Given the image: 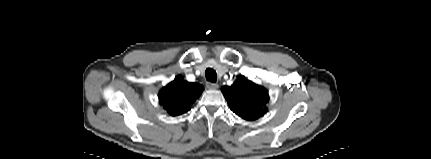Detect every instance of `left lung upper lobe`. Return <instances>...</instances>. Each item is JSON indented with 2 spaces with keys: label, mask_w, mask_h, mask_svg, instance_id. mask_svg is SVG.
Returning <instances> with one entry per match:
<instances>
[{
  "label": "left lung upper lobe",
  "mask_w": 431,
  "mask_h": 159,
  "mask_svg": "<svg viewBox=\"0 0 431 159\" xmlns=\"http://www.w3.org/2000/svg\"><path fill=\"white\" fill-rule=\"evenodd\" d=\"M222 92L233 112L247 120H255L267 110L268 92L255 83L241 79Z\"/></svg>",
  "instance_id": "obj_1"
}]
</instances>
